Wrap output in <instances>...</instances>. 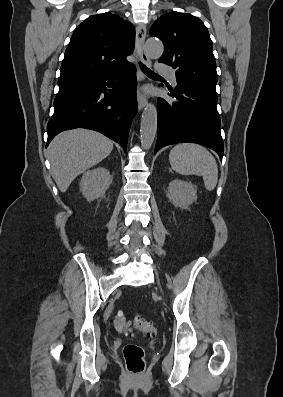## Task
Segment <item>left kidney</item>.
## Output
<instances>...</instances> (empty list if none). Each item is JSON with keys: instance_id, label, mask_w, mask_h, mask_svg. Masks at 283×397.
Instances as JSON below:
<instances>
[{"instance_id": "left-kidney-1", "label": "left kidney", "mask_w": 283, "mask_h": 397, "mask_svg": "<svg viewBox=\"0 0 283 397\" xmlns=\"http://www.w3.org/2000/svg\"><path fill=\"white\" fill-rule=\"evenodd\" d=\"M166 196L174 206L186 209L197 200V188L190 182L175 179L169 183Z\"/></svg>"}]
</instances>
